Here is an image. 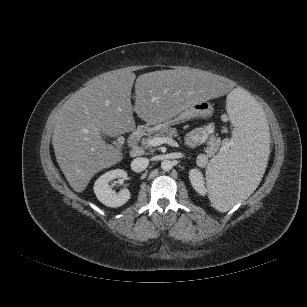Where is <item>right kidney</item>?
<instances>
[{"mask_svg":"<svg viewBox=\"0 0 307 307\" xmlns=\"http://www.w3.org/2000/svg\"><path fill=\"white\" fill-rule=\"evenodd\" d=\"M116 178H127V172L115 169L101 175L94 183V193L98 200L107 207H120L129 201L131 194L128 189H122L115 193L109 183Z\"/></svg>","mask_w":307,"mask_h":307,"instance_id":"ca27d5eb","label":"right kidney"}]
</instances>
